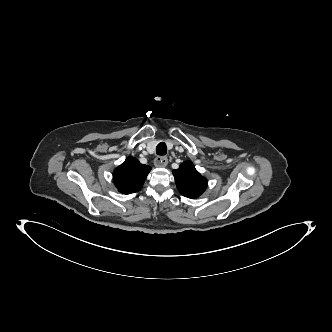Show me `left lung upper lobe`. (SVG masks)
<instances>
[{
  "instance_id": "obj_1",
  "label": "left lung upper lobe",
  "mask_w": 332,
  "mask_h": 332,
  "mask_svg": "<svg viewBox=\"0 0 332 332\" xmlns=\"http://www.w3.org/2000/svg\"><path fill=\"white\" fill-rule=\"evenodd\" d=\"M179 192L188 198H198L207 187V179L203 177L191 161H186L173 171Z\"/></svg>"
}]
</instances>
